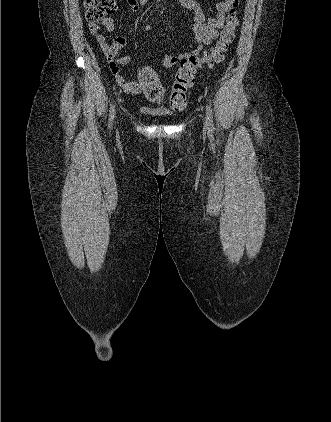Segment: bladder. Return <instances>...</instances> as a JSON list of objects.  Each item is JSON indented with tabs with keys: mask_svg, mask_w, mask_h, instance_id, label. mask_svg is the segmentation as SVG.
Returning a JSON list of instances; mask_svg holds the SVG:
<instances>
[{
	"mask_svg": "<svg viewBox=\"0 0 331 422\" xmlns=\"http://www.w3.org/2000/svg\"><path fill=\"white\" fill-rule=\"evenodd\" d=\"M153 113L156 114V115H159V116H166L167 115V113H165L163 111H155Z\"/></svg>",
	"mask_w": 331,
	"mask_h": 422,
	"instance_id": "obj_1",
	"label": "bladder"
}]
</instances>
